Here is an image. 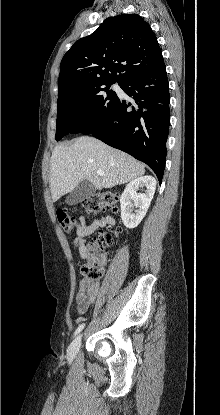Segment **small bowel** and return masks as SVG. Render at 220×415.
<instances>
[{
	"instance_id": "c3829d8e",
	"label": "small bowel",
	"mask_w": 220,
	"mask_h": 415,
	"mask_svg": "<svg viewBox=\"0 0 220 415\" xmlns=\"http://www.w3.org/2000/svg\"><path fill=\"white\" fill-rule=\"evenodd\" d=\"M114 225L115 221L111 216L95 219L89 224H86L84 217L80 216L78 218L76 237L73 239V243L79 250L81 257H86L85 239L87 237L97 232L101 234L105 229L111 230ZM98 294L99 286L97 283L81 280L75 295V304L78 314H85L89 307L95 302Z\"/></svg>"
}]
</instances>
